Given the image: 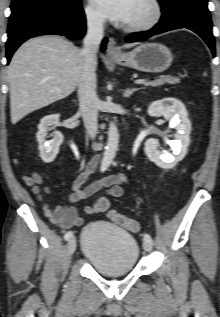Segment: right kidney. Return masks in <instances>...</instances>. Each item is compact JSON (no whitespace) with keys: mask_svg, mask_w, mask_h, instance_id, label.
I'll return each mask as SVG.
<instances>
[{"mask_svg":"<svg viewBox=\"0 0 220 317\" xmlns=\"http://www.w3.org/2000/svg\"><path fill=\"white\" fill-rule=\"evenodd\" d=\"M59 123V114L47 115L43 117L38 125V132L36 135L39 143L40 157L45 163H51L59 153V147L63 142V135L59 131H55L51 136L52 140H46L48 131L57 126Z\"/></svg>","mask_w":220,"mask_h":317,"instance_id":"1","label":"right kidney"}]
</instances>
